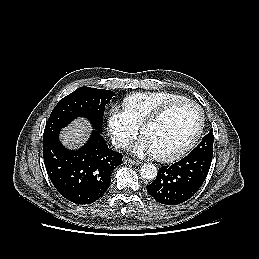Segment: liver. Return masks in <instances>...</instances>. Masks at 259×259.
<instances>
[{
    "label": "liver",
    "instance_id": "liver-1",
    "mask_svg": "<svg viewBox=\"0 0 259 259\" xmlns=\"http://www.w3.org/2000/svg\"><path fill=\"white\" fill-rule=\"evenodd\" d=\"M89 130V123L83 119H78L62 131V142L69 148L78 147L86 141Z\"/></svg>",
    "mask_w": 259,
    "mask_h": 259
}]
</instances>
